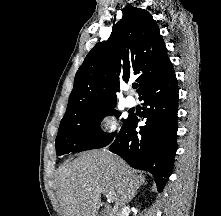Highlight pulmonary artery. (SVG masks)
Wrapping results in <instances>:
<instances>
[{
  "label": "pulmonary artery",
  "instance_id": "1",
  "mask_svg": "<svg viewBox=\"0 0 221 216\" xmlns=\"http://www.w3.org/2000/svg\"><path fill=\"white\" fill-rule=\"evenodd\" d=\"M126 104L129 107H134L136 105V99L132 95H128L126 98Z\"/></svg>",
  "mask_w": 221,
  "mask_h": 216
}]
</instances>
